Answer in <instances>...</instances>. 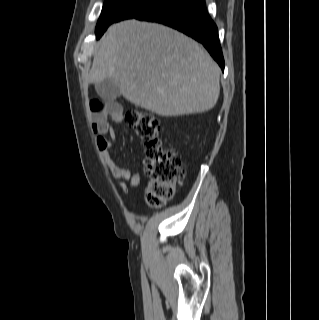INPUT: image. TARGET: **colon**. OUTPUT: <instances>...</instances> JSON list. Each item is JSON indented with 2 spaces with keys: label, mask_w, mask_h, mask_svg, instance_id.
<instances>
[{
  "label": "colon",
  "mask_w": 319,
  "mask_h": 320,
  "mask_svg": "<svg viewBox=\"0 0 319 320\" xmlns=\"http://www.w3.org/2000/svg\"><path fill=\"white\" fill-rule=\"evenodd\" d=\"M125 120L146 145L144 167L149 178L146 201L153 207L161 206L173 198L177 185L185 176L182 159L176 150L162 145L161 126L153 114L131 109L126 112Z\"/></svg>",
  "instance_id": "1"
}]
</instances>
